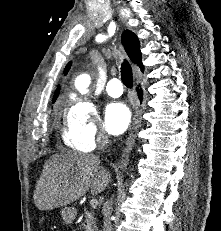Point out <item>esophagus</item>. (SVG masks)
<instances>
[{"mask_svg":"<svg viewBox=\"0 0 221 231\" xmlns=\"http://www.w3.org/2000/svg\"><path fill=\"white\" fill-rule=\"evenodd\" d=\"M137 120H138V113L136 114V117H135V124L137 123Z\"/></svg>","mask_w":221,"mask_h":231,"instance_id":"34e87169","label":"esophagus"}]
</instances>
